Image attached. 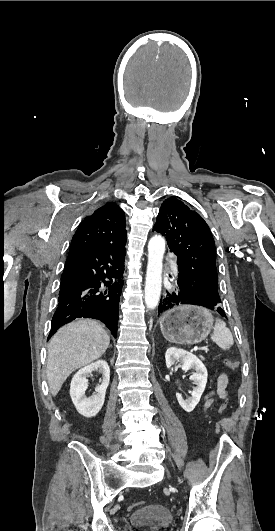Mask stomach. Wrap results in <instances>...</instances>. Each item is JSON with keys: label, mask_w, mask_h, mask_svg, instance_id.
I'll use <instances>...</instances> for the list:
<instances>
[{"label": "stomach", "mask_w": 275, "mask_h": 531, "mask_svg": "<svg viewBox=\"0 0 275 531\" xmlns=\"http://www.w3.org/2000/svg\"><path fill=\"white\" fill-rule=\"evenodd\" d=\"M163 337L178 345H195L208 337L214 319L208 309L199 307L197 301H179L178 307L160 317Z\"/></svg>", "instance_id": "stomach-1"}]
</instances>
